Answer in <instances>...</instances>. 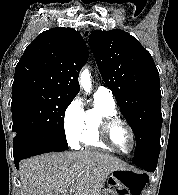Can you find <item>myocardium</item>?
I'll return each instance as SVG.
<instances>
[{"label": "myocardium", "mask_w": 178, "mask_h": 195, "mask_svg": "<svg viewBox=\"0 0 178 195\" xmlns=\"http://www.w3.org/2000/svg\"><path fill=\"white\" fill-rule=\"evenodd\" d=\"M119 124L125 126L129 132L130 136H131L132 146L128 151H123V150L117 148L111 141L112 129L116 125H119ZM99 137H100L101 141L107 147H109L111 150H113L117 153H121V154L132 153L135 149V146H136V135H135L133 128L131 127V125L127 121H125L117 116H107L102 120L101 125H100V130H99Z\"/></svg>", "instance_id": "f54148a6"}]
</instances>
